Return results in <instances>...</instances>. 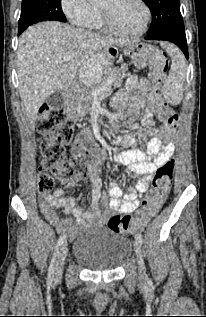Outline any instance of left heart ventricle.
<instances>
[{
  "label": "left heart ventricle",
  "instance_id": "obj_1",
  "mask_svg": "<svg viewBox=\"0 0 206 317\" xmlns=\"http://www.w3.org/2000/svg\"><path fill=\"white\" fill-rule=\"evenodd\" d=\"M100 6L109 9L114 25L126 33L139 31L145 12L136 0H102Z\"/></svg>",
  "mask_w": 206,
  "mask_h": 317
}]
</instances>
